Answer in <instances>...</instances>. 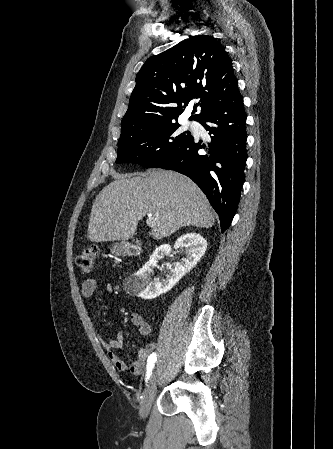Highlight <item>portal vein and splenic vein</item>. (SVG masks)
I'll list each match as a JSON object with an SVG mask.
<instances>
[{
    "label": "portal vein and splenic vein",
    "mask_w": 333,
    "mask_h": 449,
    "mask_svg": "<svg viewBox=\"0 0 333 449\" xmlns=\"http://www.w3.org/2000/svg\"><path fill=\"white\" fill-rule=\"evenodd\" d=\"M148 217H149V219L152 217V215L151 214H148ZM147 222H149V221H147Z\"/></svg>",
    "instance_id": "portal-vein-and-splenic-vein-1"
}]
</instances>
